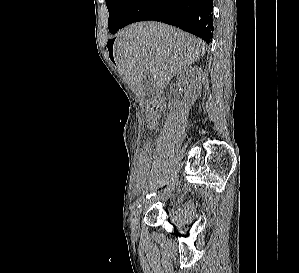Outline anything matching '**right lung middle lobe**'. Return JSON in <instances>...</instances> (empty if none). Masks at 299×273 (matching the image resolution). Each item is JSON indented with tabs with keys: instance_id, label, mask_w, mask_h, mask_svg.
Listing matches in <instances>:
<instances>
[{
	"instance_id": "1",
	"label": "right lung middle lobe",
	"mask_w": 299,
	"mask_h": 273,
	"mask_svg": "<svg viewBox=\"0 0 299 273\" xmlns=\"http://www.w3.org/2000/svg\"><path fill=\"white\" fill-rule=\"evenodd\" d=\"M134 0H106L109 11L108 28L111 33L120 29V24Z\"/></svg>"
}]
</instances>
